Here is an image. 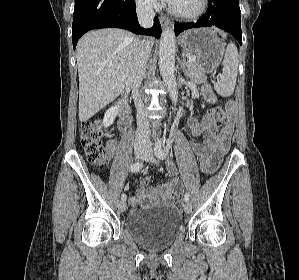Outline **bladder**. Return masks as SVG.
<instances>
[{
  "label": "bladder",
  "mask_w": 299,
  "mask_h": 280,
  "mask_svg": "<svg viewBox=\"0 0 299 280\" xmlns=\"http://www.w3.org/2000/svg\"><path fill=\"white\" fill-rule=\"evenodd\" d=\"M125 228L139 244L161 249L170 245L181 232L182 216L173 207L153 206L130 216Z\"/></svg>",
  "instance_id": "1"
}]
</instances>
